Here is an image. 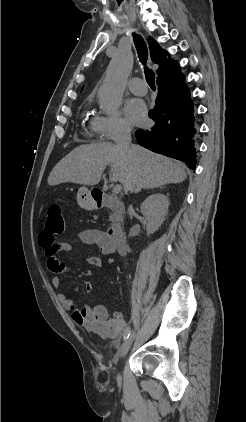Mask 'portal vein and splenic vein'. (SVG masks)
I'll return each instance as SVG.
<instances>
[{
	"instance_id": "obj_1",
	"label": "portal vein and splenic vein",
	"mask_w": 246,
	"mask_h": 422,
	"mask_svg": "<svg viewBox=\"0 0 246 422\" xmlns=\"http://www.w3.org/2000/svg\"><path fill=\"white\" fill-rule=\"evenodd\" d=\"M122 190V186L120 184H116L113 188V193L114 194H119Z\"/></svg>"
}]
</instances>
